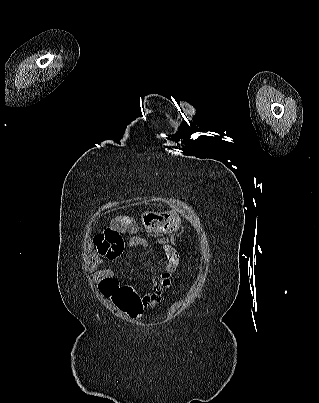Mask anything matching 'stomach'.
<instances>
[{"label":"stomach","instance_id":"obj_1","mask_svg":"<svg viewBox=\"0 0 319 403\" xmlns=\"http://www.w3.org/2000/svg\"><path fill=\"white\" fill-rule=\"evenodd\" d=\"M143 227L151 233L169 234L178 231L181 219L175 212H142Z\"/></svg>","mask_w":319,"mask_h":403}]
</instances>
